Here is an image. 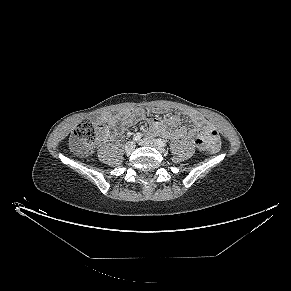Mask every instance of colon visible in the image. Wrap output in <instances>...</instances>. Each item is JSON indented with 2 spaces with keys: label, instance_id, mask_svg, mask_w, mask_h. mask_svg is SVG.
<instances>
[{
  "label": "colon",
  "instance_id": "1",
  "mask_svg": "<svg viewBox=\"0 0 291 291\" xmlns=\"http://www.w3.org/2000/svg\"><path fill=\"white\" fill-rule=\"evenodd\" d=\"M108 126L102 121L85 120L80 122L74 130L71 144L74 149L81 151H91L97 144L104 142L109 137ZM211 154H216L220 150L218 137L207 146Z\"/></svg>",
  "mask_w": 291,
  "mask_h": 291
}]
</instances>
